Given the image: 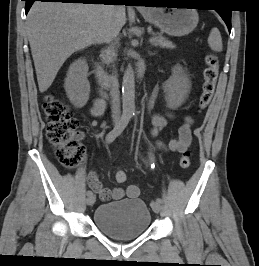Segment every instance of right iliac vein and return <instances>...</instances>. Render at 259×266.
Masks as SVG:
<instances>
[{
  "label": "right iliac vein",
  "instance_id": "right-iliac-vein-1",
  "mask_svg": "<svg viewBox=\"0 0 259 266\" xmlns=\"http://www.w3.org/2000/svg\"><path fill=\"white\" fill-rule=\"evenodd\" d=\"M95 196L94 195H91V196H88L87 199H86V203L87 205L91 206L94 204L95 202Z\"/></svg>",
  "mask_w": 259,
  "mask_h": 266
}]
</instances>
